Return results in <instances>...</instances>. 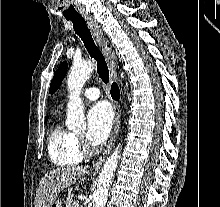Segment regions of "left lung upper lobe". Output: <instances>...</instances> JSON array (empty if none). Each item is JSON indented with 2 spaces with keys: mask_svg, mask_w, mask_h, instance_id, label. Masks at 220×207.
<instances>
[{
  "mask_svg": "<svg viewBox=\"0 0 220 207\" xmlns=\"http://www.w3.org/2000/svg\"><path fill=\"white\" fill-rule=\"evenodd\" d=\"M67 72V63L63 62L58 67L57 71L55 72L53 79L50 84L49 92L53 94L61 85L62 80L64 79Z\"/></svg>",
  "mask_w": 220,
  "mask_h": 207,
  "instance_id": "left-lung-upper-lobe-1",
  "label": "left lung upper lobe"
}]
</instances>
